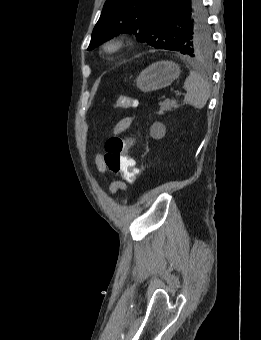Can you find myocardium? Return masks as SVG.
<instances>
[{
	"mask_svg": "<svg viewBox=\"0 0 261 340\" xmlns=\"http://www.w3.org/2000/svg\"><path fill=\"white\" fill-rule=\"evenodd\" d=\"M125 46V42L122 38L112 37L107 39L101 49L106 54H115L121 51Z\"/></svg>",
	"mask_w": 261,
	"mask_h": 340,
	"instance_id": "1",
	"label": "myocardium"
}]
</instances>
